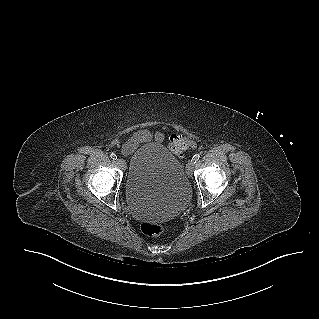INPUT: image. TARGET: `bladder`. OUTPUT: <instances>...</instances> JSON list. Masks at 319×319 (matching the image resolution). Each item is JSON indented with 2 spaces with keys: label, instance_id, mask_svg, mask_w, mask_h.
I'll return each mask as SVG.
<instances>
[{
  "label": "bladder",
  "instance_id": "obj_1",
  "mask_svg": "<svg viewBox=\"0 0 319 319\" xmlns=\"http://www.w3.org/2000/svg\"><path fill=\"white\" fill-rule=\"evenodd\" d=\"M124 190L128 206L144 219L174 215L191 197L182 163L159 143L145 144L131 154Z\"/></svg>",
  "mask_w": 319,
  "mask_h": 319
}]
</instances>
